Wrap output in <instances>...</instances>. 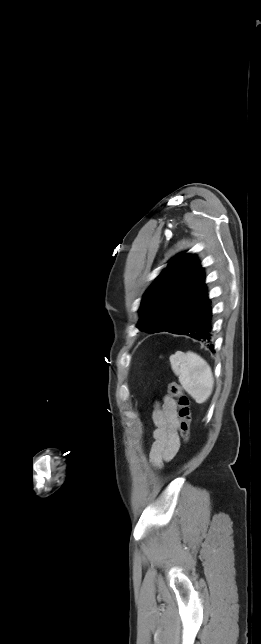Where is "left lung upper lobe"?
<instances>
[{
    "label": "left lung upper lobe",
    "mask_w": 261,
    "mask_h": 644,
    "mask_svg": "<svg viewBox=\"0 0 261 644\" xmlns=\"http://www.w3.org/2000/svg\"><path fill=\"white\" fill-rule=\"evenodd\" d=\"M204 269L195 255L181 253L148 288L139 308L137 327L145 332L169 331L207 299Z\"/></svg>",
    "instance_id": "5c2ea615"
}]
</instances>
